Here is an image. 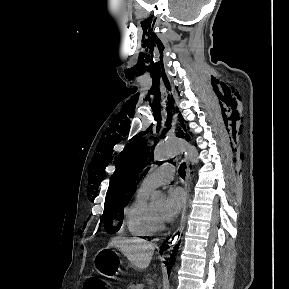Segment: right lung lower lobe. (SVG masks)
Returning a JSON list of instances; mask_svg holds the SVG:
<instances>
[{"mask_svg":"<svg viewBox=\"0 0 289 289\" xmlns=\"http://www.w3.org/2000/svg\"><path fill=\"white\" fill-rule=\"evenodd\" d=\"M167 247H168V245H165V246L163 245V246L161 247V250L166 249ZM175 251H176V250H175ZM173 253H175V252H173ZM171 256H172V257H170L171 260H170V263H169V265H170L169 270L171 269V267H172V265H173L174 256H175V255L172 254ZM169 270H168V272H169Z\"/></svg>","mask_w":289,"mask_h":289,"instance_id":"right-lung-lower-lobe-1","label":"right lung lower lobe"}]
</instances>
